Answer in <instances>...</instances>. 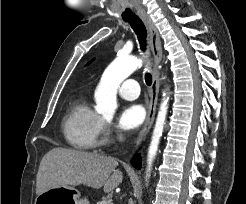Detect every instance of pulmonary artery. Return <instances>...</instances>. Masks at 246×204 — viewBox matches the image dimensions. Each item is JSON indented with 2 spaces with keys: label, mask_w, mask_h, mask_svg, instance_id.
Instances as JSON below:
<instances>
[{
  "label": "pulmonary artery",
  "mask_w": 246,
  "mask_h": 204,
  "mask_svg": "<svg viewBox=\"0 0 246 204\" xmlns=\"http://www.w3.org/2000/svg\"><path fill=\"white\" fill-rule=\"evenodd\" d=\"M140 94V87L136 80L127 79L119 87V95L126 100H134Z\"/></svg>",
  "instance_id": "pulmonary-artery-1"
}]
</instances>
